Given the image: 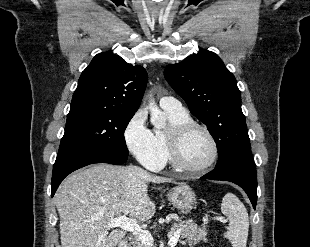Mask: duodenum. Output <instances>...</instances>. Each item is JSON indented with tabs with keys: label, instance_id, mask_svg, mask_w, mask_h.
Listing matches in <instances>:
<instances>
[{
	"label": "duodenum",
	"instance_id": "410a0bca",
	"mask_svg": "<svg viewBox=\"0 0 310 247\" xmlns=\"http://www.w3.org/2000/svg\"><path fill=\"white\" fill-rule=\"evenodd\" d=\"M117 247H129L127 240L123 239L119 242Z\"/></svg>",
	"mask_w": 310,
	"mask_h": 247
}]
</instances>
